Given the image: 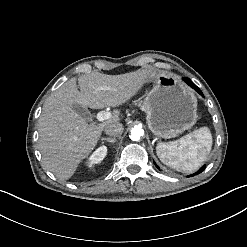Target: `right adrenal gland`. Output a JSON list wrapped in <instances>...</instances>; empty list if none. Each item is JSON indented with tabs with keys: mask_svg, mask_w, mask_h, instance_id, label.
<instances>
[{
	"mask_svg": "<svg viewBox=\"0 0 247 247\" xmlns=\"http://www.w3.org/2000/svg\"><path fill=\"white\" fill-rule=\"evenodd\" d=\"M101 140H106V141H108V142H110V143H114L115 142V139L114 138H105V137H101L100 138Z\"/></svg>",
	"mask_w": 247,
	"mask_h": 247,
	"instance_id": "1",
	"label": "right adrenal gland"
}]
</instances>
